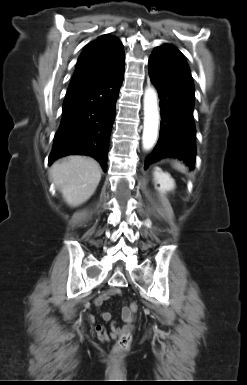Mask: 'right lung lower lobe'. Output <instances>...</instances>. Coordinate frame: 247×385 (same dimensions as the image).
Here are the masks:
<instances>
[{
    "instance_id": "98d812e1",
    "label": "right lung lower lobe",
    "mask_w": 247,
    "mask_h": 385,
    "mask_svg": "<svg viewBox=\"0 0 247 385\" xmlns=\"http://www.w3.org/2000/svg\"><path fill=\"white\" fill-rule=\"evenodd\" d=\"M124 76L117 71L69 88L49 163L66 155H89L107 170L109 138Z\"/></svg>"
}]
</instances>
